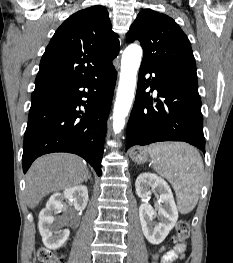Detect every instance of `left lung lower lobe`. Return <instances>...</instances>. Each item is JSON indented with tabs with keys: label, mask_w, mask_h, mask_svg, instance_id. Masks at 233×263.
<instances>
[{
	"label": "left lung lower lobe",
	"mask_w": 233,
	"mask_h": 263,
	"mask_svg": "<svg viewBox=\"0 0 233 263\" xmlns=\"http://www.w3.org/2000/svg\"><path fill=\"white\" fill-rule=\"evenodd\" d=\"M146 74H154L145 78ZM158 91L153 100L145 90ZM156 102V105H153ZM158 141H184L205 153L197 77L141 63L135 103L128 121L126 149Z\"/></svg>",
	"instance_id": "left-lung-lower-lobe-1"
}]
</instances>
